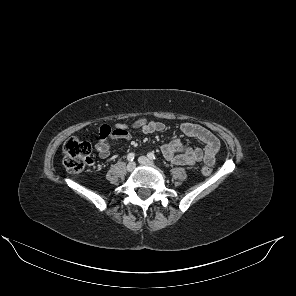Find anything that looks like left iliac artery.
<instances>
[{"label": "left iliac artery", "mask_w": 296, "mask_h": 296, "mask_svg": "<svg viewBox=\"0 0 296 296\" xmlns=\"http://www.w3.org/2000/svg\"><path fill=\"white\" fill-rule=\"evenodd\" d=\"M147 157L150 159V160H155L156 158H155V155L153 154V153H148L147 154Z\"/></svg>", "instance_id": "44dca946"}]
</instances>
